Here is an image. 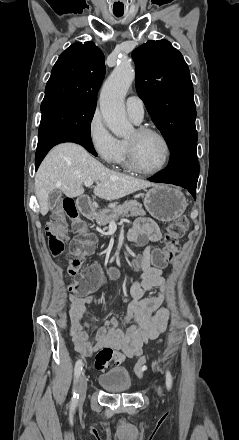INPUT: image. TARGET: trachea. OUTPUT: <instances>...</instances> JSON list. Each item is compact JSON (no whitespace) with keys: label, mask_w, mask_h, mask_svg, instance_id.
I'll use <instances>...</instances> for the list:
<instances>
[{"label":"trachea","mask_w":239,"mask_h":440,"mask_svg":"<svg viewBox=\"0 0 239 440\" xmlns=\"http://www.w3.org/2000/svg\"><path fill=\"white\" fill-rule=\"evenodd\" d=\"M116 17H122L123 14H114Z\"/></svg>","instance_id":"trachea-1"}]
</instances>
